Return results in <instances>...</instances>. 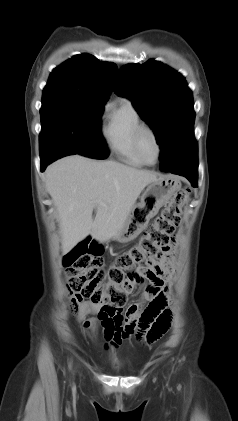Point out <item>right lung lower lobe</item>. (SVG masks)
I'll list each match as a JSON object with an SVG mask.
<instances>
[{
	"label": "right lung lower lobe",
	"mask_w": 238,
	"mask_h": 421,
	"mask_svg": "<svg viewBox=\"0 0 238 421\" xmlns=\"http://www.w3.org/2000/svg\"><path fill=\"white\" fill-rule=\"evenodd\" d=\"M75 154V152L67 147H51L45 153L40 154L41 157V171H44L47 165L52 163L53 161L67 156Z\"/></svg>",
	"instance_id": "obj_1"
}]
</instances>
